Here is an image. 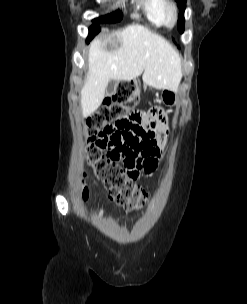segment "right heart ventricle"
Listing matches in <instances>:
<instances>
[{
    "mask_svg": "<svg viewBox=\"0 0 247 304\" xmlns=\"http://www.w3.org/2000/svg\"><path fill=\"white\" fill-rule=\"evenodd\" d=\"M167 0H142L143 12L148 21L156 26L161 27L164 23V8Z\"/></svg>",
    "mask_w": 247,
    "mask_h": 304,
    "instance_id": "1",
    "label": "right heart ventricle"
}]
</instances>
